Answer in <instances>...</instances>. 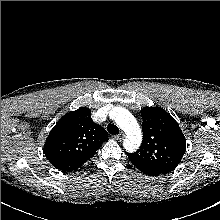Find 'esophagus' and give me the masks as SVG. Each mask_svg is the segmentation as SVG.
Masks as SVG:
<instances>
[{
	"instance_id": "34e87169",
	"label": "esophagus",
	"mask_w": 220,
	"mask_h": 220,
	"mask_svg": "<svg viewBox=\"0 0 220 220\" xmlns=\"http://www.w3.org/2000/svg\"><path fill=\"white\" fill-rule=\"evenodd\" d=\"M123 138H124V133H120V134L115 136V139L118 140V141L123 140Z\"/></svg>"
}]
</instances>
